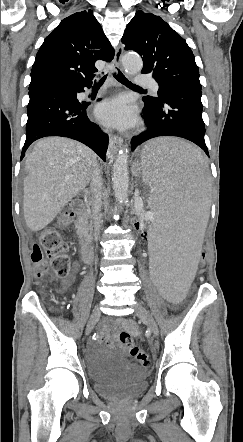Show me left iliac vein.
<instances>
[{
	"label": "left iliac vein",
	"mask_w": 243,
	"mask_h": 442,
	"mask_svg": "<svg viewBox=\"0 0 243 442\" xmlns=\"http://www.w3.org/2000/svg\"><path fill=\"white\" fill-rule=\"evenodd\" d=\"M135 313L148 326L151 333L158 336L159 329L153 315L143 306H138Z\"/></svg>",
	"instance_id": "1"
}]
</instances>
